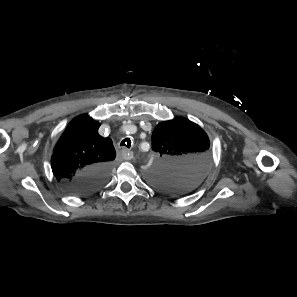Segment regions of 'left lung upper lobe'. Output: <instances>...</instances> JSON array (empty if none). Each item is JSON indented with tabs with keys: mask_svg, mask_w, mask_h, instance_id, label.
Returning <instances> with one entry per match:
<instances>
[{
	"mask_svg": "<svg viewBox=\"0 0 297 297\" xmlns=\"http://www.w3.org/2000/svg\"><path fill=\"white\" fill-rule=\"evenodd\" d=\"M209 146L203 129L186 118L158 124L152 133L156 163L149 174V183L169 195L193 190L207 173Z\"/></svg>",
	"mask_w": 297,
	"mask_h": 297,
	"instance_id": "1",
	"label": "left lung upper lobe"
}]
</instances>
